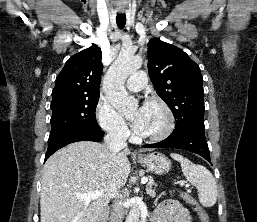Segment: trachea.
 Masks as SVG:
<instances>
[{
  "label": "trachea",
  "mask_w": 257,
  "mask_h": 222,
  "mask_svg": "<svg viewBox=\"0 0 257 222\" xmlns=\"http://www.w3.org/2000/svg\"><path fill=\"white\" fill-rule=\"evenodd\" d=\"M116 23L120 29H123L126 24V15L118 13L116 17Z\"/></svg>",
  "instance_id": "obj_1"
}]
</instances>
